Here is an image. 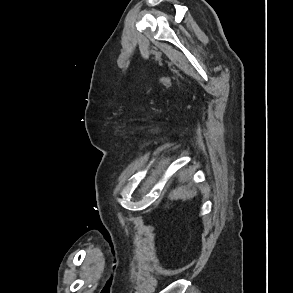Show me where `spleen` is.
<instances>
[{
    "label": "spleen",
    "mask_w": 293,
    "mask_h": 293,
    "mask_svg": "<svg viewBox=\"0 0 293 293\" xmlns=\"http://www.w3.org/2000/svg\"><path fill=\"white\" fill-rule=\"evenodd\" d=\"M197 194L196 190H190L189 188H178L171 193V197L175 199H191Z\"/></svg>",
    "instance_id": "spleen-1"
}]
</instances>
